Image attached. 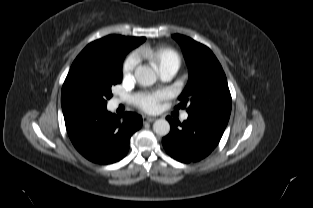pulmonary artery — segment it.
<instances>
[{
	"instance_id": "e3ab8cb5",
	"label": "pulmonary artery",
	"mask_w": 313,
	"mask_h": 208,
	"mask_svg": "<svg viewBox=\"0 0 313 208\" xmlns=\"http://www.w3.org/2000/svg\"><path fill=\"white\" fill-rule=\"evenodd\" d=\"M176 72H177V69H175V68H167V69L160 72L161 79L163 81H169L174 77ZM116 103L117 102L115 101V104ZM187 118H188V113L184 112L181 116V119L186 120Z\"/></svg>"
}]
</instances>
